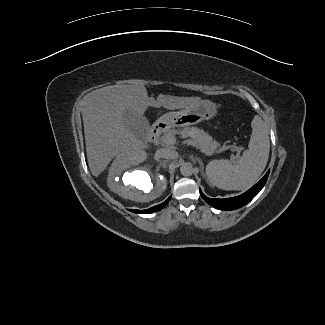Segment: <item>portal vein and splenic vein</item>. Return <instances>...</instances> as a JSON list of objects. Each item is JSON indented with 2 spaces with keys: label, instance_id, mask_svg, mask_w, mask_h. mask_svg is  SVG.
Returning a JSON list of instances; mask_svg holds the SVG:
<instances>
[{
  "label": "portal vein and splenic vein",
  "instance_id": "1",
  "mask_svg": "<svg viewBox=\"0 0 325 325\" xmlns=\"http://www.w3.org/2000/svg\"><path fill=\"white\" fill-rule=\"evenodd\" d=\"M163 142L165 144L173 145L176 142V138L174 136H166V137H163ZM189 144L196 147V148H198L197 143L194 142V141H190ZM227 149H230L232 152L236 151V155L231 156V160L233 162H235L236 159H239V154H240V151H241L240 147H237L235 145H230V146H225V147L222 148V150H227ZM201 152H203V153H205L207 155H211V154L214 153V152H209L206 149H202Z\"/></svg>",
  "mask_w": 325,
  "mask_h": 325
}]
</instances>
